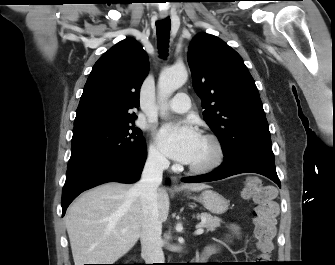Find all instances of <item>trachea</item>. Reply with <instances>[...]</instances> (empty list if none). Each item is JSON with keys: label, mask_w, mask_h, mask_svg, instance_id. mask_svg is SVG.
Segmentation results:
<instances>
[{"label": "trachea", "mask_w": 335, "mask_h": 265, "mask_svg": "<svg viewBox=\"0 0 335 265\" xmlns=\"http://www.w3.org/2000/svg\"><path fill=\"white\" fill-rule=\"evenodd\" d=\"M170 30V18L156 22L158 49L161 57H166L168 55Z\"/></svg>", "instance_id": "1"}]
</instances>
